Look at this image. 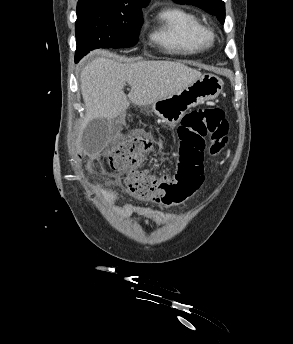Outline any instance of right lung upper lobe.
<instances>
[{
  "instance_id": "obj_1",
  "label": "right lung upper lobe",
  "mask_w": 293,
  "mask_h": 344,
  "mask_svg": "<svg viewBox=\"0 0 293 344\" xmlns=\"http://www.w3.org/2000/svg\"><path fill=\"white\" fill-rule=\"evenodd\" d=\"M83 1H99L109 5L126 6L141 9L142 7L147 6L150 0H79L78 3H82Z\"/></svg>"
}]
</instances>
